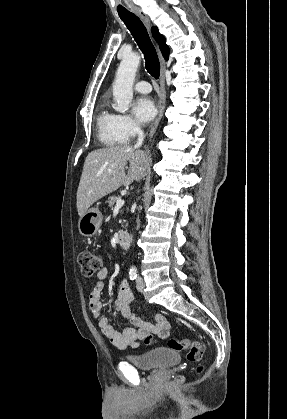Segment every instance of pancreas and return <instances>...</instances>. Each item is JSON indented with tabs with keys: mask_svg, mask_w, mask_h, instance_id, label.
<instances>
[{
	"mask_svg": "<svg viewBox=\"0 0 287 419\" xmlns=\"http://www.w3.org/2000/svg\"><path fill=\"white\" fill-rule=\"evenodd\" d=\"M119 198H120L119 196H110V197L108 198V201H106V203L108 204V206H109L110 208H112V207H113V205L116 203L117 199H119Z\"/></svg>",
	"mask_w": 287,
	"mask_h": 419,
	"instance_id": "1",
	"label": "pancreas"
}]
</instances>
